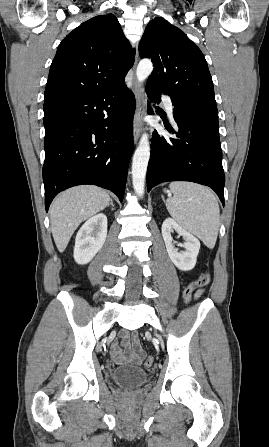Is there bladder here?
Returning a JSON list of instances; mask_svg holds the SVG:
<instances>
[{
	"label": "bladder",
	"mask_w": 269,
	"mask_h": 447,
	"mask_svg": "<svg viewBox=\"0 0 269 447\" xmlns=\"http://www.w3.org/2000/svg\"><path fill=\"white\" fill-rule=\"evenodd\" d=\"M148 378L146 370L132 365L119 366L111 373V379L116 385L130 389L143 385Z\"/></svg>",
	"instance_id": "bladder-1"
}]
</instances>
